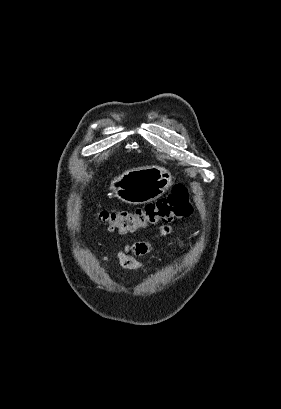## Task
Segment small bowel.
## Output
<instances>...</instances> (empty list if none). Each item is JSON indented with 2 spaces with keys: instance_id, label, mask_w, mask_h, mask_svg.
Wrapping results in <instances>:
<instances>
[{
  "instance_id": "obj_1",
  "label": "small bowel",
  "mask_w": 281,
  "mask_h": 409,
  "mask_svg": "<svg viewBox=\"0 0 281 409\" xmlns=\"http://www.w3.org/2000/svg\"><path fill=\"white\" fill-rule=\"evenodd\" d=\"M172 227L165 225L161 229L162 234H169ZM151 250V244L146 241H137L126 245L121 249L118 254V260L120 266L126 270H139L144 268V264L139 261L135 256L145 255Z\"/></svg>"
}]
</instances>
